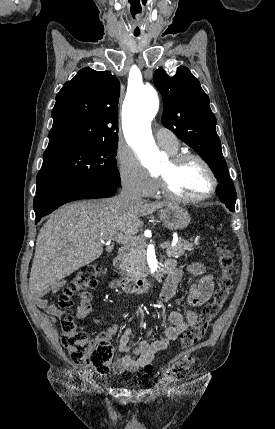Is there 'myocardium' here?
<instances>
[{
	"instance_id": "1",
	"label": "myocardium",
	"mask_w": 275,
	"mask_h": 429,
	"mask_svg": "<svg viewBox=\"0 0 275 429\" xmlns=\"http://www.w3.org/2000/svg\"><path fill=\"white\" fill-rule=\"evenodd\" d=\"M192 160L199 162L204 167V169L206 170V172L210 178V182H211V186H210L209 191L204 196L198 197V198L183 197V196L176 194L170 188L168 182L164 178L158 177L159 188L161 190V193L165 197H167L173 201L184 203V204H200V203H203V202L211 199L216 194V191H217L218 185H219V181H218V178H217V175H216L214 169L207 162L206 159H204L202 156L195 154V153H177V154H173L170 158V162L175 167H177V166H179L185 162L192 161Z\"/></svg>"
}]
</instances>
